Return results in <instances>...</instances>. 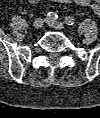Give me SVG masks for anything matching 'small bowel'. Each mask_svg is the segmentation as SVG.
Segmentation results:
<instances>
[{
	"mask_svg": "<svg viewBox=\"0 0 100 118\" xmlns=\"http://www.w3.org/2000/svg\"><path fill=\"white\" fill-rule=\"evenodd\" d=\"M30 3H37L40 0H27ZM57 3H75L81 7H88L96 14H100V0H51Z\"/></svg>",
	"mask_w": 100,
	"mask_h": 118,
	"instance_id": "c3829d8e",
	"label": "small bowel"
}]
</instances>
